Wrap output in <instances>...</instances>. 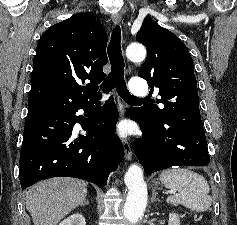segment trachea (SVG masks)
Wrapping results in <instances>:
<instances>
[{"label":"trachea","instance_id":"3493384b","mask_svg":"<svg viewBox=\"0 0 237 225\" xmlns=\"http://www.w3.org/2000/svg\"><path fill=\"white\" fill-rule=\"evenodd\" d=\"M108 56L111 64V72L102 84V90L104 92H109L113 88H116L120 97L125 101L145 102L146 99H139L132 96L126 87L124 80L125 64L121 50V29L119 25L112 31L111 40L108 46Z\"/></svg>","mask_w":237,"mask_h":225}]
</instances>
